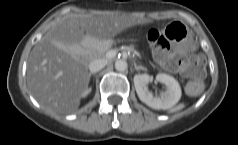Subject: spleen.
Instances as JSON below:
<instances>
[{"mask_svg": "<svg viewBox=\"0 0 238 145\" xmlns=\"http://www.w3.org/2000/svg\"><path fill=\"white\" fill-rule=\"evenodd\" d=\"M184 107H185V104L181 103V104L177 105L176 107H174L173 109H171L170 111L171 112H176V111H179V110L183 109Z\"/></svg>", "mask_w": 238, "mask_h": 145, "instance_id": "spleen-1", "label": "spleen"}]
</instances>
